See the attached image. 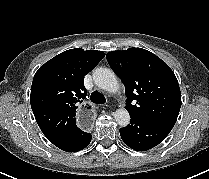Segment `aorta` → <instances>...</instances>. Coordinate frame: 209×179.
<instances>
[{"mask_svg": "<svg viewBox=\"0 0 209 179\" xmlns=\"http://www.w3.org/2000/svg\"><path fill=\"white\" fill-rule=\"evenodd\" d=\"M95 84L108 92L116 93L119 90V83L114 72L108 68H97L93 72ZM114 118L118 125L125 127L130 122V115L124 108L118 109L114 113Z\"/></svg>", "mask_w": 209, "mask_h": 179, "instance_id": "aorta-1", "label": "aorta"}]
</instances>
